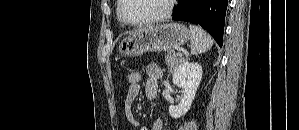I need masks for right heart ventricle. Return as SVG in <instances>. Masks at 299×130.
<instances>
[{"label":"right heart ventricle","mask_w":299,"mask_h":130,"mask_svg":"<svg viewBox=\"0 0 299 130\" xmlns=\"http://www.w3.org/2000/svg\"><path fill=\"white\" fill-rule=\"evenodd\" d=\"M119 5H120V1H117V6H116L117 16H118ZM119 22H120V21H119ZM120 23H121V22H120Z\"/></svg>","instance_id":"obj_1"}]
</instances>
